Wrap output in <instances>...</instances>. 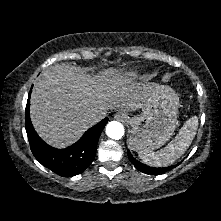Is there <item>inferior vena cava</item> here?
I'll use <instances>...</instances> for the list:
<instances>
[{"label":"inferior vena cava","mask_w":221,"mask_h":221,"mask_svg":"<svg viewBox=\"0 0 221 221\" xmlns=\"http://www.w3.org/2000/svg\"><path fill=\"white\" fill-rule=\"evenodd\" d=\"M103 118L102 114H91L86 118L89 124H95Z\"/></svg>","instance_id":"602c4592"}]
</instances>
